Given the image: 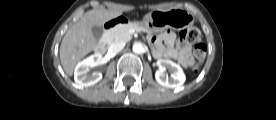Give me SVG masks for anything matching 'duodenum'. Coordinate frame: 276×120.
Here are the masks:
<instances>
[{"label": "duodenum", "instance_id": "obj_1", "mask_svg": "<svg viewBox=\"0 0 276 120\" xmlns=\"http://www.w3.org/2000/svg\"><path fill=\"white\" fill-rule=\"evenodd\" d=\"M130 18L125 17V16H117L113 19H110L106 21L105 23V32L108 33L112 28H114L117 25L120 24H129L130 23ZM106 51V39H103L96 47V52L99 54H103Z\"/></svg>", "mask_w": 276, "mask_h": 120}]
</instances>
